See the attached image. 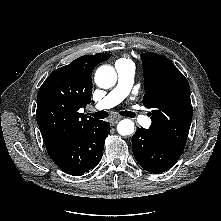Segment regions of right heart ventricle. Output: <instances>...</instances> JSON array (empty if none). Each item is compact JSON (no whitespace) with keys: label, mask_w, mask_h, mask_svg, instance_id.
I'll use <instances>...</instances> for the list:
<instances>
[{"label":"right heart ventricle","mask_w":221,"mask_h":221,"mask_svg":"<svg viewBox=\"0 0 221 221\" xmlns=\"http://www.w3.org/2000/svg\"><path fill=\"white\" fill-rule=\"evenodd\" d=\"M126 63H131V61L128 59V58H120L116 61L115 65L116 64H126Z\"/></svg>","instance_id":"right-heart-ventricle-1"}]
</instances>
